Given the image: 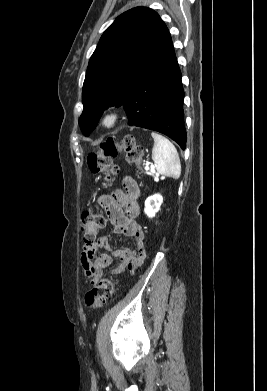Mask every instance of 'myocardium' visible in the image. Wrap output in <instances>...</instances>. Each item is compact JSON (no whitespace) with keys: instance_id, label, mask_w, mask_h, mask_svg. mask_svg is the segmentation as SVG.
<instances>
[{"instance_id":"1","label":"myocardium","mask_w":267,"mask_h":391,"mask_svg":"<svg viewBox=\"0 0 267 391\" xmlns=\"http://www.w3.org/2000/svg\"><path fill=\"white\" fill-rule=\"evenodd\" d=\"M121 113L118 109L112 108L106 110L100 118V126L104 130H112L119 124Z\"/></svg>"}]
</instances>
